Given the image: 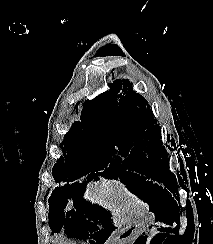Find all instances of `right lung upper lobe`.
Wrapping results in <instances>:
<instances>
[{"label":"right lung upper lobe","instance_id":"obj_1","mask_svg":"<svg viewBox=\"0 0 213 244\" xmlns=\"http://www.w3.org/2000/svg\"><path fill=\"white\" fill-rule=\"evenodd\" d=\"M83 112H92L97 114L108 115L102 102L96 98L92 101H86L83 106Z\"/></svg>","mask_w":213,"mask_h":244}]
</instances>
